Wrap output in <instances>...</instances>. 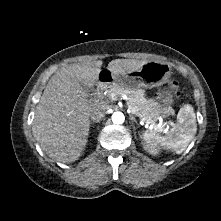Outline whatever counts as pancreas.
Wrapping results in <instances>:
<instances>
[{
    "label": "pancreas",
    "mask_w": 221,
    "mask_h": 221,
    "mask_svg": "<svg viewBox=\"0 0 221 221\" xmlns=\"http://www.w3.org/2000/svg\"><path fill=\"white\" fill-rule=\"evenodd\" d=\"M112 95H114L115 98L126 95V104L131 112L138 116L142 121L155 125V121L160 115L158 110L156 109L157 104L153 100L145 98L144 90L124 89L122 86L115 84L111 86L108 90L107 97L112 98ZM157 130L163 131L164 127L162 126L160 128H157Z\"/></svg>",
    "instance_id": "cf45deb5"
}]
</instances>
